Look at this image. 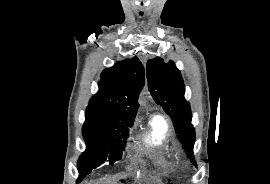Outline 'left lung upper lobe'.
Returning a JSON list of instances; mask_svg holds the SVG:
<instances>
[{"label":"left lung upper lobe","instance_id":"5c2ea615","mask_svg":"<svg viewBox=\"0 0 270 184\" xmlns=\"http://www.w3.org/2000/svg\"><path fill=\"white\" fill-rule=\"evenodd\" d=\"M146 67L150 93L154 101L171 117L177 137L195 165V131L191 124L190 105L184 98L185 89L180 71L172 61L164 63L160 57L148 60Z\"/></svg>","mask_w":270,"mask_h":184}]
</instances>
